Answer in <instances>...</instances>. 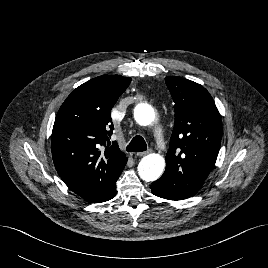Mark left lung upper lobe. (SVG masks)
Masks as SVG:
<instances>
[{"instance_id": "left-lung-upper-lobe-1", "label": "left lung upper lobe", "mask_w": 268, "mask_h": 268, "mask_svg": "<svg viewBox=\"0 0 268 268\" xmlns=\"http://www.w3.org/2000/svg\"><path fill=\"white\" fill-rule=\"evenodd\" d=\"M175 102V124L166 169L155 182L194 196L212 170L221 144L219 111L209 92L181 77H166Z\"/></svg>"}]
</instances>
